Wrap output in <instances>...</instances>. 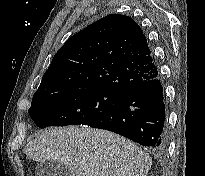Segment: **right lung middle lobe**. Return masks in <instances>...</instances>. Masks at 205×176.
Returning a JSON list of instances; mask_svg holds the SVG:
<instances>
[{"mask_svg": "<svg viewBox=\"0 0 205 176\" xmlns=\"http://www.w3.org/2000/svg\"><path fill=\"white\" fill-rule=\"evenodd\" d=\"M123 93L106 88L62 91L33 96L28 110L40 128L89 125L102 117Z\"/></svg>", "mask_w": 205, "mask_h": 176, "instance_id": "obj_1", "label": "right lung middle lobe"}]
</instances>
